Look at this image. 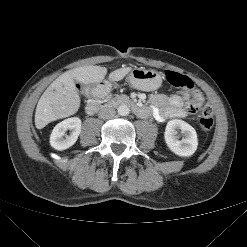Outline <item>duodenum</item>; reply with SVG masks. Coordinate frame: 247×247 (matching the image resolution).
<instances>
[{
  "instance_id": "obj_1",
  "label": "duodenum",
  "mask_w": 247,
  "mask_h": 247,
  "mask_svg": "<svg viewBox=\"0 0 247 247\" xmlns=\"http://www.w3.org/2000/svg\"><path fill=\"white\" fill-rule=\"evenodd\" d=\"M118 102L129 106L137 115L144 116L146 114V109L130 98L122 97ZM110 107L111 103H100L96 98L90 96L86 105V111L88 113H95L98 111L108 110Z\"/></svg>"
}]
</instances>
